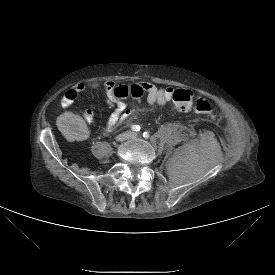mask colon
I'll list each match as a JSON object with an SVG mask.
<instances>
[{
  "label": "colon",
  "mask_w": 275,
  "mask_h": 275,
  "mask_svg": "<svg viewBox=\"0 0 275 275\" xmlns=\"http://www.w3.org/2000/svg\"><path fill=\"white\" fill-rule=\"evenodd\" d=\"M115 95L121 98L131 97L133 99H139L143 95V90L137 85H133L130 88L118 87L115 90ZM173 101L177 109L181 112H187L194 110L199 114L209 115L214 117V106L210 100L203 95H196L189 89H178L173 94Z\"/></svg>",
  "instance_id": "5ec220e1"
}]
</instances>
